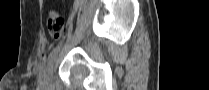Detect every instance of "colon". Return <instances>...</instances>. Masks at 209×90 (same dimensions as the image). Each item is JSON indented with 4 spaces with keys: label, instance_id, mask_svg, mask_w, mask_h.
Wrapping results in <instances>:
<instances>
[{
    "label": "colon",
    "instance_id": "obj_1",
    "mask_svg": "<svg viewBox=\"0 0 209 90\" xmlns=\"http://www.w3.org/2000/svg\"><path fill=\"white\" fill-rule=\"evenodd\" d=\"M47 27L52 37L55 39L60 38L65 29V20L62 14L56 11H51L48 15Z\"/></svg>",
    "mask_w": 209,
    "mask_h": 90
}]
</instances>
